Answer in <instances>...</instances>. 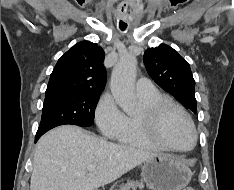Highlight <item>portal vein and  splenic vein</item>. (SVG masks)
<instances>
[{"label": "portal vein and splenic vein", "instance_id": "portal-vein-and-splenic-vein-1", "mask_svg": "<svg viewBox=\"0 0 234 190\" xmlns=\"http://www.w3.org/2000/svg\"><path fill=\"white\" fill-rule=\"evenodd\" d=\"M95 169H96V165H95V164H91V165L88 166L87 171H88V172H92V171H94Z\"/></svg>", "mask_w": 234, "mask_h": 190}]
</instances>
